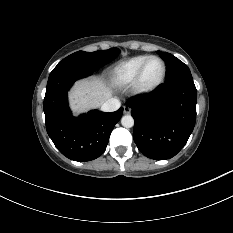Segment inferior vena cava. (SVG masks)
I'll use <instances>...</instances> for the list:
<instances>
[{
    "instance_id": "obj_1",
    "label": "inferior vena cava",
    "mask_w": 233,
    "mask_h": 233,
    "mask_svg": "<svg viewBox=\"0 0 233 233\" xmlns=\"http://www.w3.org/2000/svg\"><path fill=\"white\" fill-rule=\"evenodd\" d=\"M121 106V103L116 98H109L107 101H105L102 106L101 110L104 112H114L118 110Z\"/></svg>"
}]
</instances>
